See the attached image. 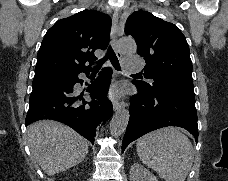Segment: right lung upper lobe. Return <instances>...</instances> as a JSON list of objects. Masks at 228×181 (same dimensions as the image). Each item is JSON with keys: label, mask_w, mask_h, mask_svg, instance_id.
<instances>
[{"label": "right lung upper lobe", "mask_w": 228, "mask_h": 181, "mask_svg": "<svg viewBox=\"0 0 228 181\" xmlns=\"http://www.w3.org/2000/svg\"><path fill=\"white\" fill-rule=\"evenodd\" d=\"M110 29V16L94 10L57 21L41 43L34 80L90 69L94 51L107 47Z\"/></svg>", "instance_id": "1"}]
</instances>
